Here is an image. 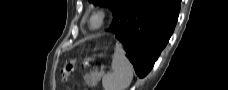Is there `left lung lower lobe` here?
I'll return each mask as SVG.
<instances>
[{
	"mask_svg": "<svg viewBox=\"0 0 228 90\" xmlns=\"http://www.w3.org/2000/svg\"><path fill=\"white\" fill-rule=\"evenodd\" d=\"M180 0H130L111 25L139 77L152 69L177 22Z\"/></svg>",
	"mask_w": 228,
	"mask_h": 90,
	"instance_id": "obj_1",
	"label": "left lung lower lobe"
}]
</instances>
